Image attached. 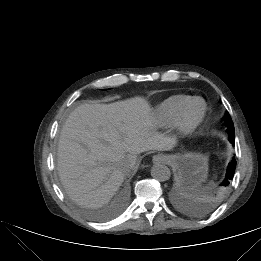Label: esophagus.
<instances>
[{"label": "esophagus", "mask_w": 261, "mask_h": 261, "mask_svg": "<svg viewBox=\"0 0 261 261\" xmlns=\"http://www.w3.org/2000/svg\"><path fill=\"white\" fill-rule=\"evenodd\" d=\"M152 161L155 164L163 163L165 161V157L162 154H156L153 156Z\"/></svg>", "instance_id": "esophagus-1"}]
</instances>
